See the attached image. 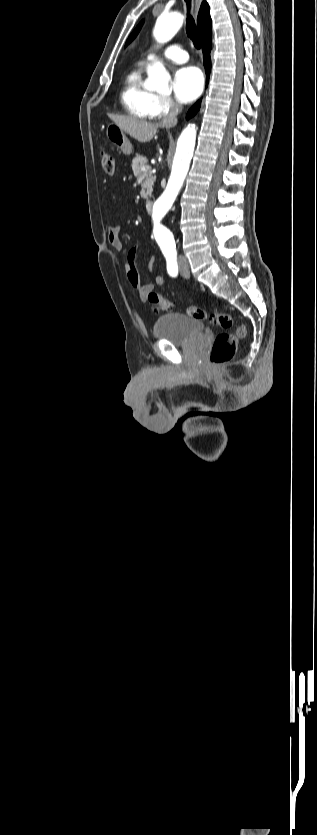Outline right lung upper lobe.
Wrapping results in <instances>:
<instances>
[{
  "mask_svg": "<svg viewBox=\"0 0 317 835\" xmlns=\"http://www.w3.org/2000/svg\"><path fill=\"white\" fill-rule=\"evenodd\" d=\"M198 32L204 38L212 30V22L209 15V5L203 1L197 18Z\"/></svg>",
  "mask_w": 317,
  "mask_h": 835,
  "instance_id": "1",
  "label": "right lung upper lobe"
}]
</instances>
